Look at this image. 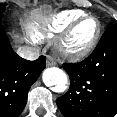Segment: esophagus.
<instances>
[{"label": "esophagus", "mask_w": 117, "mask_h": 117, "mask_svg": "<svg viewBox=\"0 0 117 117\" xmlns=\"http://www.w3.org/2000/svg\"><path fill=\"white\" fill-rule=\"evenodd\" d=\"M56 64L55 60L51 56H47L46 66H54Z\"/></svg>", "instance_id": "34e87169"}]
</instances>
